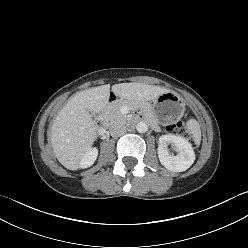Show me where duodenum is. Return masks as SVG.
Segmentation results:
<instances>
[{
    "label": "duodenum",
    "mask_w": 248,
    "mask_h": 248,
    "mask_svg": "<svg viewBox=\"0 0 248 248\" xmlns=\"http://www.w3.org/2000/svg\"><path fill=\"white\" fill-rule=\"evenodd\" d=\"M118 99V96L114 92H110L107 100V105L114 103ZM95 125L98 130L103 133L105 131V119L103 115H99L95 120Z\"/></svg>",
    "instance_id": "duodenum-1"
}]
</instances>
